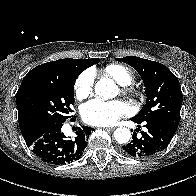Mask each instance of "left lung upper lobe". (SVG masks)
I'll list each match as a JSON object with an SVG mask.
<instances>
[{
    "instance_id": "left-lung-upper-lobe-1",
    "label": "left lung upper lobe",
    "mask_w": 196,
    "mask_h": 196,
    "mask_svg": "<svg viewBox=\"0 0 196 196\" xmlns=\"http://www.w3.org/2000/svg\"><path fill=\"white\" fill-rule=\"evenodd\" d=\"M132 66L140 74L146 88V104L133 118L154 119L177 130L183 94L176 76L163 64L139 57L116 58Z\"/></svg>"
}]
</instances>
